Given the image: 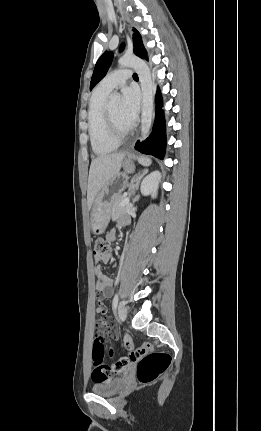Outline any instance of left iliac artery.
<instances>
[{"mask_svg": "<svg viewBox=\"0 0 261 431\" xmlns=\"http://www.w3.org/2000/svg\"><path fill=\"white\" fill-rule=\"evenodd\" d=\"M118 299H119V297H118V294L116 293L114 296V299H113V308L114 309H116V307H117Z\"/></svg>", "mask_w": 261, "mask_h": 431, "instance_id": "obj_1", "label": "left iliac artery"}]
</instances>
